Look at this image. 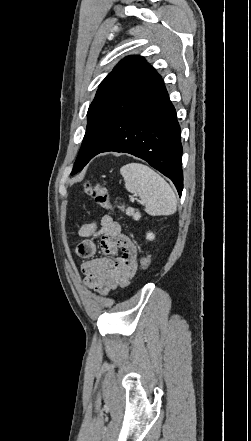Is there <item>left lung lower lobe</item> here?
Returning a JSON list of instances; mask_svg holds the SVG:
<instances>
[{
	"mask_svg": "<svg viewBox=\"0 0 251 441\" xmlns=\"http://www.w3.org/2000/svg\"><path fill=\"white\" fill-rule=\"evenodd\" d=\"M84 167L94 156L115 151L132 154L183 189L180 126L162 79L143 94L126 115L102 116L84 136Z\"/></svg>",
	"mask_w": 251,
	"mask_h": 441,
	"instance_id": "left-lung-lower-lobe-1",
	"label": "left lung lower lobe"
}]
</instances>
